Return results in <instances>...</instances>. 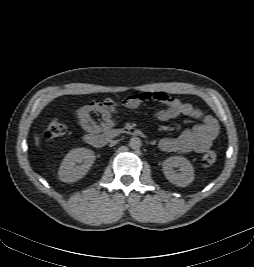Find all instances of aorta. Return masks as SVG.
I'll return each mask as SVG.
<instances>
[{
	"mask_svg": "<svg viewBox=\"0 0 254 267\" xmlns=\"http://www.w3.org/2000/svg\"><path fill=\"white\" fill-rule=\"evenodd\" d=\"M130 148L136 150L141 147V139L139 137H132L129 141Z\"/></svg>",
	"mask_w": 254,
	"mask_h": 267,
	"instance_id": "1",
	"label": "aorta"
}]
</instances>
